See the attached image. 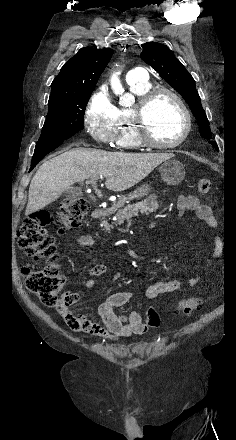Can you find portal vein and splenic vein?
I'll return each instance as SVG.
<instances>
[{"instance_id":"1","label":"portal vein and splenic vein","mask_w":236,"mask_h":440,"mask_svg":"<svg viewBox=\"0 0 236 440\" xmlns=\"http://www.w3.org/2000/svg\"><path fill=\"white\" fill-rule=\"evenodd\" d=\"M90 182L92 183L93 188H94V190H95L97 196H98V197H102L101 191H100V190L97 188V186H96V179H92Z\"/></svg>"}]
</instances>
